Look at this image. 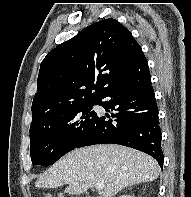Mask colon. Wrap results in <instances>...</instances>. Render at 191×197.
<instances>
[{"label": "colon", "instance_id": "colon-1", "mask_svg": "<svg viewBox=\"0 0 191 197\" xmlns=\"http://www.w3.org/2000/svg\"><path fill=\"white\" fill-rule=\"evenodd\" d=\"M48 197H53V196H48ZM58 197H63V196H58Z\"/></svg>", "mask_w": 191, "mask_h": 197}]
</instances>
